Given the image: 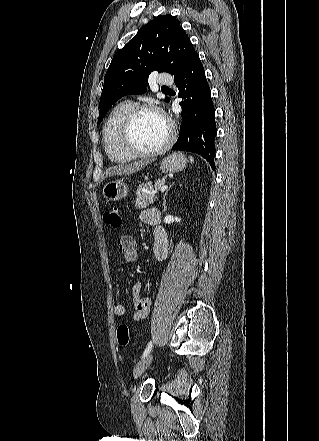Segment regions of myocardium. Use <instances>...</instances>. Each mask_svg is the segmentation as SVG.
Segmentation results:
<instances>
[{
	"instance_id": "f54148a6",
	"label": "myocardium",
	"mask_w": 319,
	"mask_h": 441,
	"mask_svg": "<svg viewBox=\"0 0 319 441\" xmlns=\"http://www.w3.org/2000/svg\"><path fill=\"white\" fill-rule=\"evenodd\" d=\"M146 111L160 115L168 128L167 137L163 144L150 151H144L137 148L131 140V132L136 118L140 113ZM175 133L176 131L173 122L158 106L150 103L136 104L129 109L120 125L119 144L124 151L133 157H153L160 155L169 149L175 139Z\"/></svg>"
}]
</instances>
